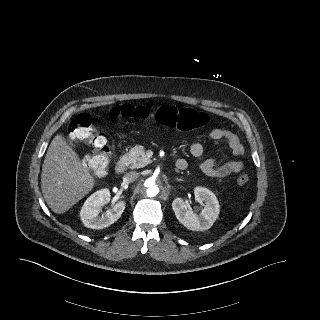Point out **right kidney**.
Wrapping results in <instances>:
<instances>
[{
    "label": "right kidney",
    "mask_w": 320,
    "mask_h": 320,
    "mask_svg": "<svg viewBox=\"0 0 320 320\" xmlns=\"http://www.w3.org/2000/svg\"><path fill=\"white\" fill-rule=\"evenodd\" d=\"M109 201L110 192L106 188L96 191L85 201L80 211V217L85 227L103 229L121 217L126 206L124 201L117 202L104 215H99L102 206Z\"/></svg>",
    "instance_id": "ca27d5eb"
}]
</instances>
